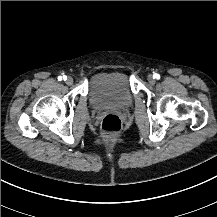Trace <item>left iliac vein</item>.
<instances>
[{
    "instance_id": "left-iliac-vein-1",
    "label": "left iliac vein",
    "mask_w": 217,
    "mask_h": 217,
    "mask_svg": "<svg viewBox=\"0 0 217 217\" xmlns=\"http://www.w3.org/2000/svg\"><path fill=\"white\" fill-rule=\"evenodd\" d=\"M148 82H149L151 85H153V84H155L156 80H155V78H154L153 76H148Z\"/></svg>"
}]
</instances>
